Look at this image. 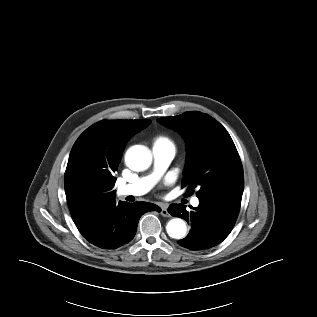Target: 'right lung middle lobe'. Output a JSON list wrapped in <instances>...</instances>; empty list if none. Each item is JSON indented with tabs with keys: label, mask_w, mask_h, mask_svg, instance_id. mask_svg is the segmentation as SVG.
I'll use <instances>...</instances> for the list:
<instances>
[{
	"label": "right lung middle lobe",
	"mask_w": 317,
	"mask_h": 317,
	"mask_svg": "<svg viewBox=\"0 0 317 317\" xmlns=\"http://www.w3.org/2000/svg\"><path fill=\"white\" fill-rule=\"evenodd\" d=\"M66 191H75L97 200L107 199L106 186L100 181L87 176H75L67 185Z\"/></svg>",
	"instance_id": "dd1d6c3e"
}]
</instances>
